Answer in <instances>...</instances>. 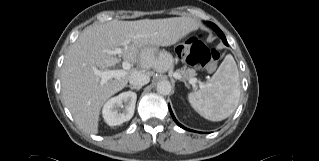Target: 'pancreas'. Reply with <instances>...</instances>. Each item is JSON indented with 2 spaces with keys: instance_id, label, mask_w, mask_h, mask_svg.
Wrapping results in <instances>:
<instances>
[{
  "instance_id": "obj_1",
  "label": "pancreas",
  "mask_w": 319,
  "mask_h": 161,
  "mask_svg": "<svg viewBox=\"0 0 319 161\" xmlns=\"http://www.w3.org/2000/svg\"><path fill=\"white\" fill-rule=\"evenodd\" d=\"M178 73L182 75L183 79H188V80L192 79L196 75L193 69H190V68L186 69V67L178 70Z\"/></svg>"
}]
</instances>
